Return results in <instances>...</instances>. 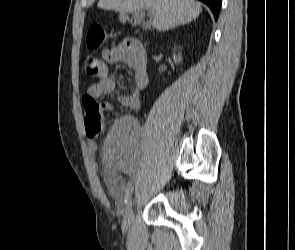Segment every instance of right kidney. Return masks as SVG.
Instances as JSON below:
<instances>
[{
    "mask_svg": "<svg viewBox=\"0 0 295 250\" xmlns=\"http://www.w3.org/2000/svg\"><path fill=\"white\" fill-rule=\"evenodd\" d=\"M174 61L176 62V63H180L181 61H182V56H181V54L179 53L178 55H175L174 54Z\"/></svg>",
    "mask_w": 295,
    "mask_h": 250,
    "instance_id": "right-kidney-1",
    "label": "right kidney"
}]
</instances>
